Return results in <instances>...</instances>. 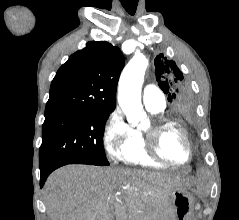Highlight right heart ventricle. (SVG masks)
Listing matches in <instances>:
<instances>
[{"instance_id": "1", "label": "right heart ventricle", "mask_w": 239, "mask_h": 220, "mask_svg": "<svg viewBox=\"0 0 239 220\" xmlns=\"http://www.w3.org/2000/svg\"><path fill=\"white\" fill-rule=\"evenodd\" d=\"M153 115H160L163 110L147 108ZM123 163L142 167H164L166 164L154 160L145 149L144 138L140 129H133V140L122 150L120 158Z\"/></svg>"}]
</instances>
